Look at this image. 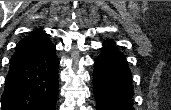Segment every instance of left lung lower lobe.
Instances as JSON below:
<instances>
[{
  "mask_svg": "<svg viewBox=\"0 0 171 110\" xmlns=\"http://www.w3.org/2000/svg\"><path fill=\"white\" fill-rule=\"evenodd\" d=\"M93 80L97 110H134L131 72L115 42L103 45Z\"/></svg>",
  "mask_w": 171,
  "mask_h": 110,
  "instance_id": "0a47b994",
  "label": "left lung lower lobe"
}]
</instances>
